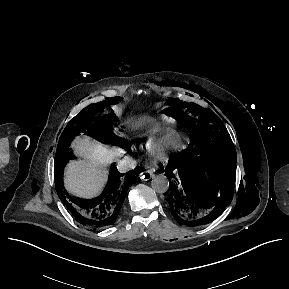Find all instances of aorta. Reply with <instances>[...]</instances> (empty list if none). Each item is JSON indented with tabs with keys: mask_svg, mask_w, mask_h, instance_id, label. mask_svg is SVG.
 I'll return each mask as SVG.
<instances>
[{
	"mask_svg": "<svg viewBox=\"0 0 289 289\" xmlns=\"http://www.w3.org/2000/svg\"><path fill=\"white\" fill-rule=\"evenodd\" d=\"M151 186L157 193H165L169 188V181L164 175H157L151 181Z\"/></svg>",
	"mask_w": 289,
	"mask_h": 289,
	"instance_id": "aorta-1",
	"label": "aorta"
}]
</instances>
